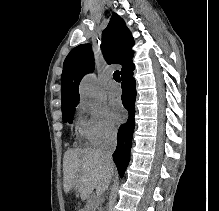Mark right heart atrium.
Segmentation results:
<instances>
[{
	"instance_id": "right-heart-atrium-1",
	"label": "right heart atrium",
	"mask_w": 219,
	"mask_h": 211,
	"mask_svg": "<svg viewBox=\"0 0 219 211\" xmlns=\"http://www.w3.org/2000/svg\"><path fill=\"white\" fill-rule=\"evenodd\" d=\"M78 111L82 115L80 132L92 146H99L116 138L117 128L106 107L80 102Z\"/></svg>"
}]
</instances>
